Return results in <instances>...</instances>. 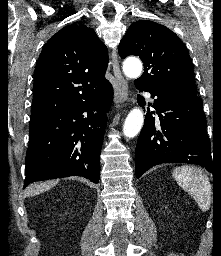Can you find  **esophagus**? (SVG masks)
Here are the masks:
<instances>
[{
  "label": "esophagus",
  "mask_w": 221,
  "mask_h": 256,
  "mask_svg": "<svg viewBox=\"0 0 221 256\" xmlns=\"http://www.w3.org/2000/svg\"><path fill=\"white\" fill-rule=\"evenodd\" d=\"M113 71L116 78L115 105L119 106L128 99V83L121 75L118 58L115 52L112 54Z\"/></svg>",
  "instance_id": "34e87169"
}]
</instances>
